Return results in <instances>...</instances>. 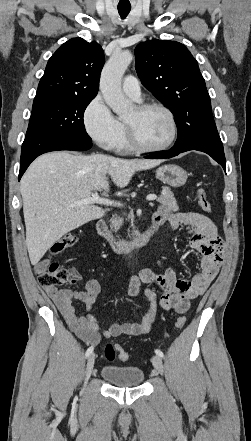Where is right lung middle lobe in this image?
Masks as SVG:
<instances>
[{"label": "right lung middle lobe", "instance_id": "dd1d6c3e", "mask_svg": "<svg viewBox=\"0 0 251 441\" xmlns=\"http://www.w3.org/2000/svg\"><path fill=\"white\" fill-rule=\"evenodd\" d=\"M91 98H51L33 102L29 130L55 135L63 140L92 142L83 122Z\"/></svg>", "mask_w": 251, "mask_h": 441}]
</instances>
